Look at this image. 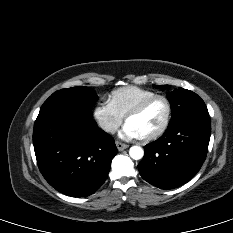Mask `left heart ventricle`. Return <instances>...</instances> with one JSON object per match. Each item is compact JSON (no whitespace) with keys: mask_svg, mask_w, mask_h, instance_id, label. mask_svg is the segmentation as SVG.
Returning <instances> with one entry per match:
<instances>
[{"mask_svg":"<svg viewBox=\"0 0 233 233\" xmlns=\"http://www.w3.org/2000/svg\"><path fill=\"white\" fill-rule=\"evenodd\" d=\"M166 116V105L162 100L153 102L140 115L130 118L127 123L132 125L141 137L157 131Z\"/></svg>","mask_w":233,"mask_h":233,"instance_id":"1","label":"left heart ventricle"}]
</instances>
